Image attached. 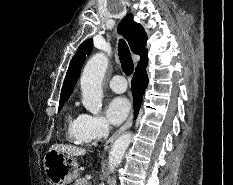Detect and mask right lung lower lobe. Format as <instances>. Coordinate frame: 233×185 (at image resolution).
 Masks as SVG:
<instances>
[{"mask_svg": "<svg viewBox=\"0 0 233 185\" xmlns=\"http://www.w3.org/2000/svg\"><path fill=\"white\" fill-rule=\"evenodd\" d=\"M146 66L136 68L134 77L132 79L133 103L136 115L138 114V110L142 101V96L148 84Z\"/></svg>", "mask_w": 233, "mask_h": 185, "instance_id": "98d812e1", "label": "right lung lower lobe"}]
</instances>
